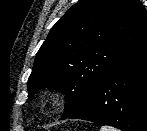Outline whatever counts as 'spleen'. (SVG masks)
<instances>
[{"label":"spleen","instance_id":"1","mask_svg":"<svg viewBox=\"0 0 147 131\" xmlns=\"http://www.w3.org/2000/svg\"><path fill=\"white\" fill-rule=\"evenodd\" d=\"M100 131H118V130L110 126H102Z\"/></svg>","mask_w":147,"mask_h":131}]
</instances>
